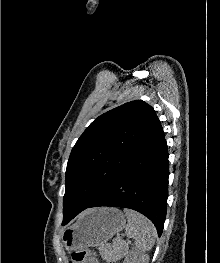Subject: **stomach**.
Here are the masks:
<instances>
[{"mask_svg":"<svg viewBox=\"0 0 220 263\" xmlns=\"http://www.w3.org/2000/svg\"><path fill=\"white\" fill-rule=\"evenodd\" d=\"M126 227L124 214L117 208H95L84 212L66 229L62 243L69 252L98 247Z\"/></svg>","mask_w":220,"mask_h":263,"instance_id":"obj_1","label":"stomach"}]
</instances>
